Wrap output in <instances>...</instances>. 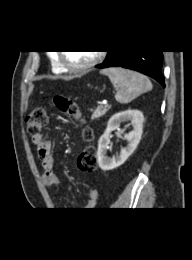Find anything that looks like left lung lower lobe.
Returning <instances> with one entry per match:
<instances>
[{
	"mask_svg": "<svg viewBox=\"0 0 192 260\" xmlns=\"http://www.w3.org/2000/svg\"><path fill=\"white\" fill-rule=\"evenodd\" d=\"M163 54L161 50H124L111 51L107 54L103 63L96 65V68L123 67L141 72L158 81L165 87L162 75Z\"/></svg>",
	"mask_w": 192,
	"mask_h": 260,
	"instance_id": "left-lung-lower-lobe-1",
	"label": "left lung lower lobe"
}]
</instances>
